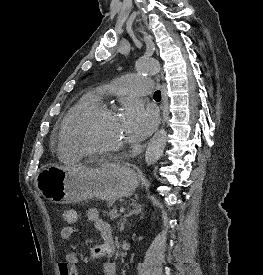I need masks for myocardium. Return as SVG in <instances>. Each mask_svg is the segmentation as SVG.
I'll list each match as a JSON object with an SVG mask.
<instances>
[{"mask_svg":"<svg viewBox=\"0 0 263 275\" xmlns=\"http://www.w3.org/2000/svg\"><path fill=\"white\" fill-rule=\"evenodd\" d=\"M116 115L113 108L105 104H96L84 112H82L73 122L68 135L66 136L70 145L82 156H109L116 155L123 151L124 145L116 146L107 149H90L79 144L75 138V135L79 128L88 120L100 115Z\"/></svg>","mask_w":263,"mask_h":275,"instance_id":"myocardium-1","label":"myocardium"}]
</instances>
